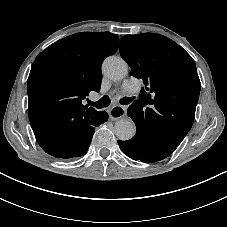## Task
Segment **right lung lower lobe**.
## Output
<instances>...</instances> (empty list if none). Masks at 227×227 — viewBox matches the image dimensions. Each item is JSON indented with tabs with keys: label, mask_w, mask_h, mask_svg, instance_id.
<instances>
[{
	"label": "right lung lower lobe",
	"mask_w": 227,
	"mask_h": 227,
	"mask_svg": "<svg viewBox=\"0 0 227 227\" xmlns=\"http://www.w3.org/2000/svg\"><path fill=\"white\" fill-rule=\"evenodd\" d=\"M107 120H92L87 116L76 117L69 123L53 124L40 130L32 126L35 137L44 151L56 158L83 156L91 143L95 127Z\"/></svg>",
	"instance_id": "1"
}]
</instances>
